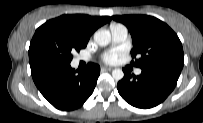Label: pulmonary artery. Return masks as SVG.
I'll return each instance as SVG.
<instances>
[{"instance_id":"e3ab8cb5","label":"pulmonary artery","mask_w":203,"mask_h":123,"mask_svg":"<svg viewBox=\"0 0 203 123\" xmlns=\"http://www.w3.org/2000/svg\"><path fill=\"white\" fill-rule=\"evenodd\" d=\"M113 44H119L127 38V28L123 24L114 23L110 26ZM86 59V58H82ZM135 74H141V69H136Z\"/></svg>"}]
</instances>
